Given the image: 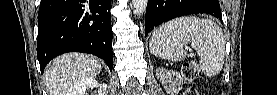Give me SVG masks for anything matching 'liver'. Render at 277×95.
Returning <instances> with one entry per match:
<instances>
[{
  "instance_id": "1",
  "label": "liver",
  "mask_w": 277,
  "mask_h": 95,
  "mask_svg": "<svg viewBox=\"0 0 277 95\" xmlns=\"http://www.w3.org/2000/svg\"><path fill=\"white\" fill-rule=\"evenodd\" d=\"M101 71L100 61L82 53H67L58 56L45 71L49 95H68L75 83L96 76Z\"/></svg>"
}]
</instances>
